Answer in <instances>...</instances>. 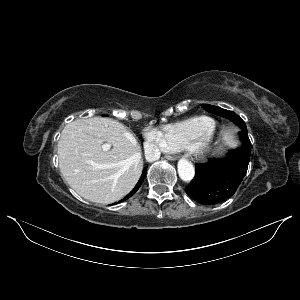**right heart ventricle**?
I'll list each match as a JSON object with an SVG mask.
<instances>
[{
	"label": "right heart ventricle",
	"mask_w": 300,
	"mask_h": 300,
	"mask_svg": "<svg viewBox=\"0 0 300 300\" xmlns=\"http://www.w3.org/2000/svg\"><path fill=\"white\" fill-rule=\"evenodd\" d=\"M216 129V122L208 116H195L165 125L162 132L170 151L191 150L202 137Z\"/></svg>",
	"instance_id": "e07e8e85"
}]
</instances>
